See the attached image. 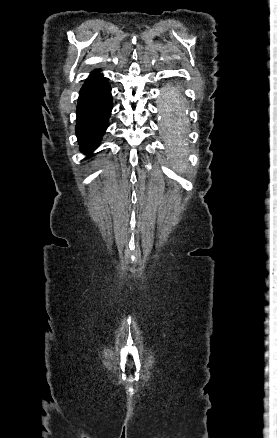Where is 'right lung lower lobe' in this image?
<instances>
[{
    "instance_id": "obj_1",
    "label": "right lung lower lobe",
    "mask_w": 277,
    "mask_h": 438,
    "mask_svg": "<svg viewBox=\"0 0 277 438\" xmlns=\"http://www.w3.org/2000/svg\"><path fill=\"white\" fill-rule=\"evenodd\" d=\"M112 110L111 88L101 73L86 79L79 93L76 134L81 150L88 156L98 146L108 127Z\"/></svg>"
}]
</instances>
